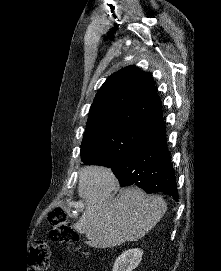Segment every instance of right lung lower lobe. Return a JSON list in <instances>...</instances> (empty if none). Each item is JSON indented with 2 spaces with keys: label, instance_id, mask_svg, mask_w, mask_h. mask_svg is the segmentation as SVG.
<instances>
[{
  "label": "right lung lower lobe",
  "instance_id": "obj_1",
  "mask_svg": "<svg viewBox=\"0 0 221 271\" xmlns=\"http://www.w3.org/2000/svg\"><path fill=\"white\" fill-rule=\"evenodd\" d=\"M110 168L121 187L138 186L147 193L161 192L178 200L163 121L154 124L141 142Z\"/></svg>",
  "mask_w": 221,
  "mask_h": 271
}]
</instances>
